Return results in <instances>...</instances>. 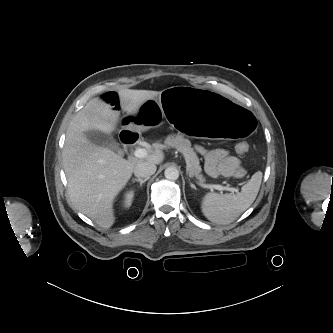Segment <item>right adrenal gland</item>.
Segmentation results:
<instances>
[{
    "mask_svg": "<svg viewBox=\"0 0 333 333\" xmlns=\"http://www.w3.org/2000/svg\"><path fill=\"white\" fill-rule=\"evenodd\" d=\"M149 178L141 179V178H134L132 179V182H139L140 186L142 187L143 183H145Z\"/></svg>",
    "mask_w": 333,
    "mask_h": 333,
    "instance_id": "obj_1",
    "label": "right adrenal gland"
}]
</instances>
